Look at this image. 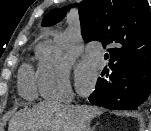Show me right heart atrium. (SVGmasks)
Returning a JSON list of instances; mask_svg holds the SVG:
<instances>
[{"label":"right heart atrium","instance_id":"obj_1","mask_svg":"<svg viewBox=\"0 0 151 131\" xmlns=\"http://www.w3.org/2000/svg\"><path fill=\"white\" fill-rule=\"evenodd\" d=\"M36 79L39 92L46 99H61L72 95L70 61L58 49H50L40 56Z\"/></svg>","mask_w":151,"mask_h":131}]
</instances>
